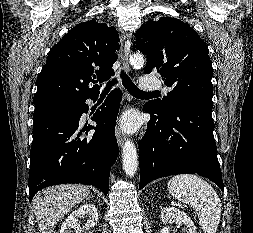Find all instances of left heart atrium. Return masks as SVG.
<instances>
[{"instance_id": "obj_1", "label": "left heart atrium", "mask_w": 253, "mask_h": 233, "mask_svg": "<svg viewBox=\"0 0 253 233\" xmlns=\"http://www.w3.org/2000/svg\"><path fill=\"white\" fill-rule=\"evenodd\" d=\"M123 126L127 130H133L137 126V120L134 115H128L124 121H123Z\"/></svg>"}]
</instances>
